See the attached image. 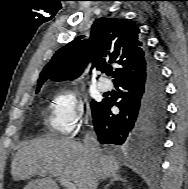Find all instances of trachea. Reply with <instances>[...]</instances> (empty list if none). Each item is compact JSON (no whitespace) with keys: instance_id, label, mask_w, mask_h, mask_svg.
<instances>
[{"instance_id":"trachea-1","label":"trachea","mask_w":188,"mask_h":189,"mask_svg":"<svg viewBox=\"0 0 188 189\" xmlns=\"http://www.w3.org/2000/svg\"><path fill=\"white\" fill-rule=\"evenodd\" d=\"M113 74H114L113 72H108V73H107L108 76H111V75H113Z\"/></svg>"}]
</instances>
